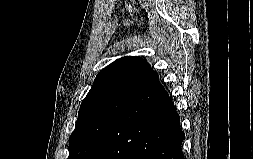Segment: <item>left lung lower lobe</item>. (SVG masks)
<instances>
[{
	"label": "left lung lower lobe",
	"mask_w": 253,
	"mask_h": 159,
	"mask_svg": "<svg viewBox=\"0 0 253 159\" xmlns=\"http://www.w3.org/2000/svg\"><path fill=\"white\" fill-rule=\"evenodd\" d=\"M179 120L157 79L119 113L91 159H184Z\"/></svg>",
	"instance_id": "obj_1"
}]
</instances>
